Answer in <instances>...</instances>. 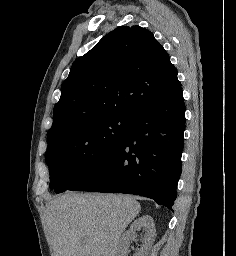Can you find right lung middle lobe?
Instances as JSON below:
<instances>
[{"mask_svg":"<svg viewBox=\"0 0 236 256\" xmlns=\"http://www.w3.org/2000/svg\"><path fill=\"white\" fill-rule=\"evenodd\" d=\"M134 119L110 117L78 123L48 136L50 188L66 191L90 167L114 151Z\"/></svg>","mask_w":236,"mask_h":256,"instance_id":"1","label":"right lung middle lobe"}]
</instances>
